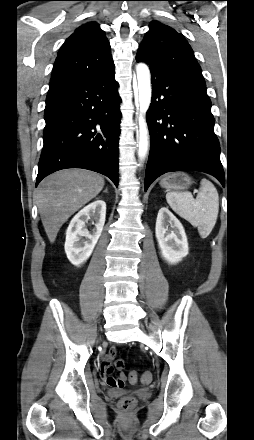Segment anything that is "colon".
Listing matches in <instances>:
<instances>
[{
  "mask_svg": "<svg viewBox=\"0 0 254 440\" xmlns=\"http://www.w3.org/2000/svg\"><path fill=\"white\" fill-rule=\"evenodd\" d=\"M114 367L118 371H122L125 367V361L123 359H116L114 362ZM138 381L144 384L150 383L152 381L151 372L145 371L141 376H139L138 373L135 371L130 372L129 382L135 384ZM125 382H126V378L123 375H121L113 382V384L116 387L121 388L124 386ZM133 405H134V398L131 396L124 397L120 402V406L124 410H130L133 407Z\"/></svg>",
  "mask_w": 254,
  "mask_h": 440,
  "instance_id": "obj_1",
  "label": "colon"
}]
</instances>
